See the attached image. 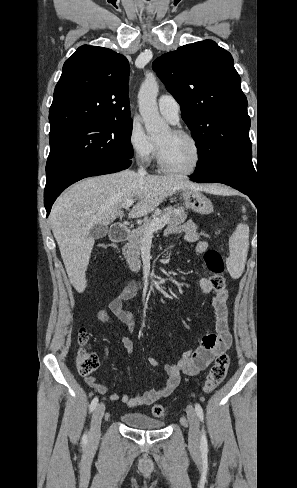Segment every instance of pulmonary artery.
Masks as SVG:
<instances>
[{
    "label": "pulmonary artery",
    "instance_id": "pulmonary-artery-1",
    "mask_svg": "<svg viewBox=\"0 0 297 488\" xmlns=\"http://www.w3.org/2000/svg\"><path fill=\"white\" fill-rule=\"evenodd\" d=\"M160 113L171 123L175 124L179 119L180 106L176 99L168 94L162 95L158 99Z\"/></svg>",
    "mask_w": 297,
    "mask_h": 488
}]
</instances>
